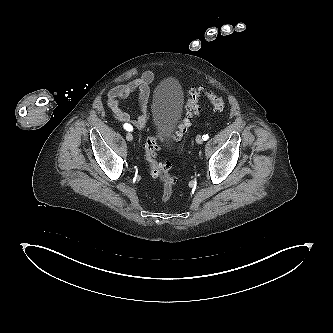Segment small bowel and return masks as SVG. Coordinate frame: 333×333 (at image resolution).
<instances>
[{"instance_id": "obj_1", "label": "small bowel", "mask_w": 333, "mask_h": 333, "mask_svg": "<svg viewBox=\"0 0 333 333\" xmlns=\"http://www.w3.org/2000/svg\"><path fill=\"white\" fill-rule=\"evenodd\" d=\"M154 80L152 71H145L142 75L129 83L112 88L107 94V105L113 117L120 123L130 124L136 128L144 127L148 119V100L150 96V84ZM137 94L140 113L136 118L121 109L120 103L129 96Z\"/></svg>"}]
</instances>
